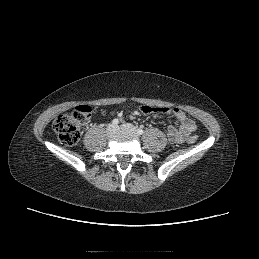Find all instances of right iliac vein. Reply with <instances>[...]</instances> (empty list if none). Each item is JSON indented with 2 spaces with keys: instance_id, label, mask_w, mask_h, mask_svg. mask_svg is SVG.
<instances>
[{
  "instance_id": "63e3f726",
  "label": "right iliac vein",
  "mask_w": 259,
  "mask_h": 259,
  "mask_svg": "<svg viewBox=\"0 0 259 259\" xmlns=\"http://www.w3.org/2000/svg\"><path fill=\"white\" fill-rule=\"evenodd\" d=\"M118 130L117 126L111 124L107 127L106 133L108 136H112Z\"/></svg>"
}]
</instances>
